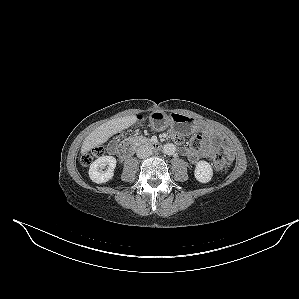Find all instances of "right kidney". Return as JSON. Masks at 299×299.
<instances>
[{"instance_id":"obj_1","label":"right kidney","mask_w":299,"mask_h":299,"mask_svg":"<svg viewBox=\"0 0 299 299\" xmlns=\"http://www.w3.org/2000/svg\"><path fill=\"white\" fill-rule=\"evenodd\" d=\"M116 159L113 156H102L96 159L89 168V177L95 183H106L114 176ZM107 168L103 171V169Z\"/></svg>"}]
</instances>
